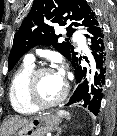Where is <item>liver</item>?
I'll return each instance as SVG.
<instances>
[{
  "mask_svg": "<svg viewBox=\"0 0 117 136\" xmlns=\"http://www.w3.org/2000/svg\"><path fill=\"white\" fill-rule=\"evenodd\" d=\"M29 123V119L14 116L3 123L2 136H12L19 128Z\"/></svg>",
  "mask_w": 117,
  "mask_h": 136,
  "instance_id": "6515ba94",
  "label": "liver"
}]
</instances>
